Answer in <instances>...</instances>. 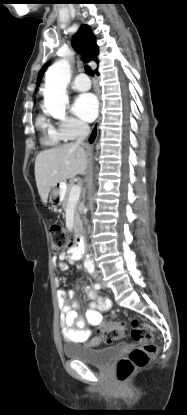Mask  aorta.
<instances>
[{
  "mask_svg": "<svg viewBox=\"0 0 187 415\" xmlns=\"http://www.w3.org/2000/svg\"><path fill=\"white\" fill-rule=\"evenodd\" d=\"M70 78V64L66 59L58 60L46 72L43 89L44 106L46 112L54 118L66 117V107L69 103L66 87Z\"/></svg>",
  "mask_w": 187,
  "mask_h": 415,
  "instance_id": "1",
  "label": "aorta"
}]
</instances>
